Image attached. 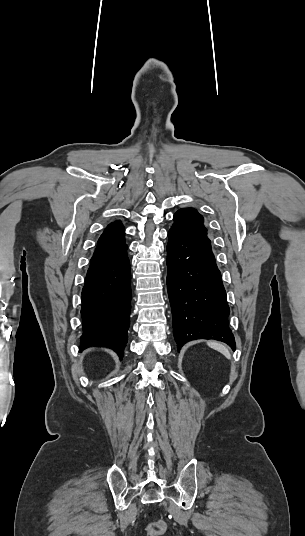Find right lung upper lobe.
I'll list each match as a JSON object with an SVG mask.
<instances>
[{
  "label": "right lung upper lobe",
  "mask_w": 305,
  "mask_h": 536,
  "mask_svg": "<svg viewBox=\"0 0 305 536\" xmlns=\"http://www.w3.org/2000/svg\"><path fill=\"white\" fill-rule=\"evenodd\" d=\"M124 234V227L120 221L109 224L98 240L94 255L126 245Z\"/></svg>",
  "instance_id": "1"
}]
</instances>
